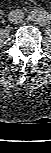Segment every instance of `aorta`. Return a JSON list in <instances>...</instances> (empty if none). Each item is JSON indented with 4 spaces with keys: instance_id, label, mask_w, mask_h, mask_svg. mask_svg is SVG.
Listing matches in <instances>:
<instances>
[{
    "instance_id": "aorta-1",
    "label": "aorta",
    "mask_w": 51,
    "mask_h": 153,
    "mask_svg": "<svg viewBox=\"0 0 51 153\" xmlns=\"http://www.w3.org/2000/svg\"><path fill=\"white\" fill-rule=\"evenodd\" d=\"M29 17L32 21L41 25H46L50 21L49 14L41 10H32L29 14Z\"/></svg>"
}]
</instances>
